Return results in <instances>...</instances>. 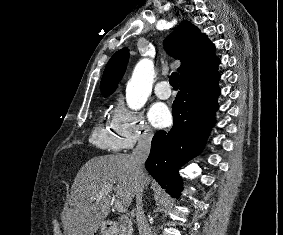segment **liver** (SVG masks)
<instances>
[{
    "label": "liver",
    "instance_id": "1",
    "mask_svg": "<svg viewBox=\"0 0 283 235\" xmlns=\"http://www.w3.org/2000/svg\"><path fill=\"white\" fill-rule=\"evenodd\" d=\"M150 182L144 172L143 188ZM114 187L116 197L128 207L136 195V169L128 154L97 156L77 173L61 215L65 235H94L110 212L111 197L106 188Z\"/></svg>",
    "mask_w": 283,
    "mask_h": 235
}]
</instances>
